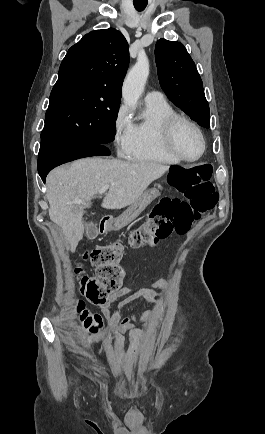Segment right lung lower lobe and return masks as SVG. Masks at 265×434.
Returning a JSON list of instances; mask_svg holds the SVG:
<instances>
[{"label": "right lung lower lobe", "mask_w": 265, "mask_h": 434, "mask_svg": "<svg viewBox=\"0 0 265 434\" xmlns=\"http://www.w3.org/2000/svg\"><path fill=\"white\" fill-rule=\"evenodd\" d=\"M110 155L102 144H73L56 140L41 142L38 156V172L45 183L46 175L54 167L79 158Z\"/></svg>", "instance_id": "1"}]
</instances>
